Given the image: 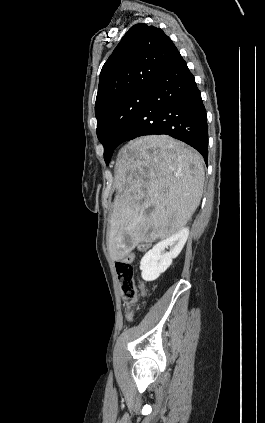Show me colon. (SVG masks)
Segmentation results:
<instances>
[{"mask_svg":"<svg viewBox=\"0 0 265 423\" xmlns=\"http://www.w3.org/2000/svg\"><path fill=\"white\" fill-rule=\"evenodd\" d=\"M116 272L122 285V296L128 305H132L144 294L143 285H137L134 280L135 269L133 266V255L120 259L116 262ZM130 319L131 313L127 314Z\"/></svg>","mask_w":265,"mask_h":423,"instance_id":"5ec220e1","label":"colon"}]
</instances>
